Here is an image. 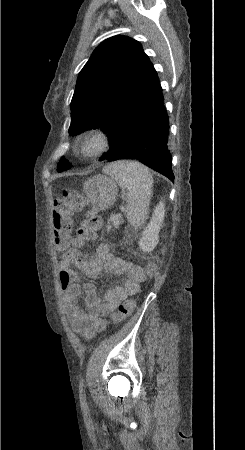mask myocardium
<instances>
[{
    "label": "myocardium",
    "mask_w": 245,
    "mask_h": 450,
    "mask_svg": "<svg viewBox=\"0 0 245 450\" xmlns=\"http://www.w3.org/2000/svg\"><path fill=\"white\" fill-rule=\"evenodd\" d=\"M95 142L96 149L90 151L88 146ZM111 146V141L106 132L102 130L89 131L82 136L79 141V152L86 158H95L104 155Z\"/></svg>",
    "instance_id": "myocardium-1"
}]
</instances>
